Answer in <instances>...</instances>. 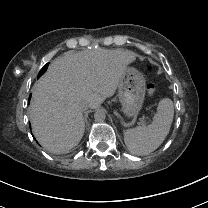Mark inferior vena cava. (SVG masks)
<instances>
[{"label": "inferior vena cava", "mask_w": 208, "mask_h": 208, "mask_svg": "<svg viewBox=\"0 0 208 208\" xmlns=\"http://www.w3.org/2000/svg\"><path fill=\"white\" fill-rule=\"evenodd\" d=\"M80 108H81L82 111L87 110V109H88L87 103L81 102V103H80Z\"/></svg>", "instance_id": "602c4592"}]
</instances>
